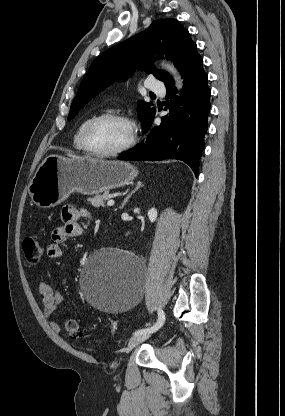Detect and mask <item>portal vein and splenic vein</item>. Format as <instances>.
I'll list each match as a JSON object with an SVG mask.
<instances>
[{
  "mask_svg": "<svg viewBox=\"0 0 285 416\" xmlns=\"http://www.w3.org/2000/svg\"><path fill=\"white\" fill-rule=\"evenodd\" d=\"M115 202L114 200H108L107 206H114Z\"/></svg>",
  "mask_w": 285,
  "mask_h": 416,
  "instance_id": "18ae733b",
  "label": "portal vein and splenic vein"
}]
</instances>
